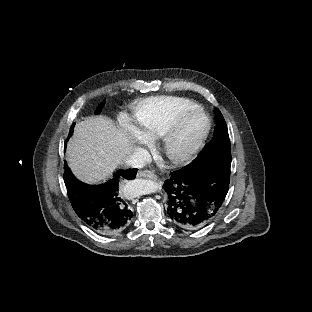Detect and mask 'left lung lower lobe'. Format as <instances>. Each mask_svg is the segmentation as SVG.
<instances>
[{
	"instance_id": "obj_1",
	"label": "left lung lower lobe",
	"mask_w": 312,
	"mask_h": 312,
	"mask_svg": "<svg viewBox=\"0 0 312 312\" xmlns=\"http://www.w3.org/2000/svg\"><path fill=\"white\" fill-rule=\"evenodd\" d=\"M230 166L231 157L220 155L172 172L164 183L171 223L179 228L200 229L214 219L229 189Z\"/></svg>"
}]
</instances>
